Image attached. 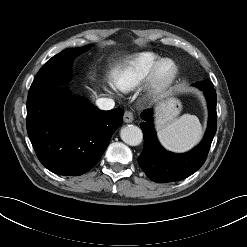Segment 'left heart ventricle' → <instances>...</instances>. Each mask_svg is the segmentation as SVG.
I'll list each match as a JSON object with an SVG mask.
<instances>
[{"label":"left heart ventricle","instance_id":"obj_1","mask_svg":"<svg viewBox=\"0 0 247 247\" xmlns=\"http://www.w3.org/2000/svg\"><path fill=\"white\" fill-rule=\"evenodd\" d=\"M170 70V66L167 64L163 67V72L167 73Z\"/></svg>","mask_w":247,"mask_h":247}]
</instances>
